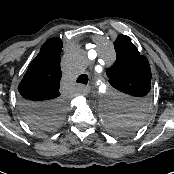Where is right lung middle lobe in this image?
Wrapping results in <instances>:
<instances>
[{"label":"right lung middle lobe","mask_w":174,"mask_h":174,"mask_svg":"<svg viewBox=\"0 0 174 174\" xmlns=\"http://www.w3.org/2000/svg\"><path fill=\"white\" fill-rule=\"evenodd\" d=\"M64 110V104L57 102L44 111L28 116V120L34 128L38 130L49 131L61 124Z\"/></svg>","instance_id":"1"}]
</instances>
